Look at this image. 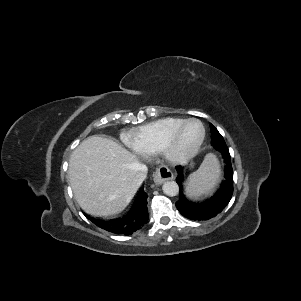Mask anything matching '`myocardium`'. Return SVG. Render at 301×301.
<instances>
[{
    "mask_svg": "<svg viewBox=\"0 0 301 301\" xmlns=\"http://www.w3.org/2000/svg\"><path fill=\"white\" fill-rule=\"evenodd\" d=\"M192 122H197L200 124L202 128L201 137L199 141L196 143V145L190 151L185 153H178L176 151V144L179 139V136L181 135L184 128ZM205 137H206V129L203 122L196 118L187 119L165 139L161 147L160 153L163 156V158L171 164L174 165L183 164L189 161L190 159H192L199 152L200 148L204 143Z\"/></svg>",
    "mask_w": 301,
    "mask_h": 301,
    "instance_id": "f54148a6",
    "label": "myocardium"
}]
</instances>
